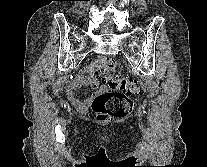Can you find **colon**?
<instances>
[{
	"label": "colon",
	"mask_w": 207,
	"mask_h": 167,
	"mask_svg": "<svg viewBox=\"0 0 207 167\" xmlns=\"http://www.w3.org/2000/svg\"><path fill=\"white\" fill-rule=\"evenodd\" d=\"M94 75L103 81L102 89L92 102L95 116L101 121L122 119L132 111V96L142 92L141 85L128 77L116 74L112 59L93 67Z\"/></svg>",
	"instance_id": "1"
}]
</instances>
